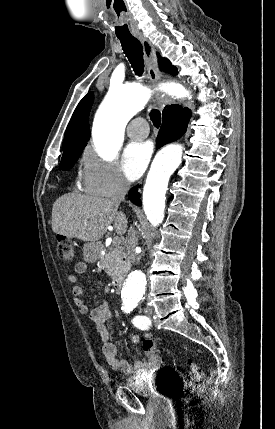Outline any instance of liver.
<instances>
[{
    "label": "liver",
    "instance_id": "liver-1",
    "mask_svg": "<svg viewBox=\"0 0 275 429\" xmlns=\"http://www.w3.org/2000/svg\"><path fill=\"white\" fill-rule=\"evenodd\" d=\"M114 199L68 193L52 208V230L56 234L88 242L100 240L113 223L118 235L127 229V218Z\"/></svg>",
    "mask_w": 275,
    "mask_h": 429
}]
</instances>
